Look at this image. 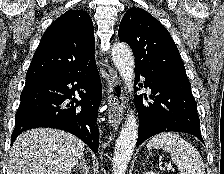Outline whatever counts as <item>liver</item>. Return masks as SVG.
I'll return each mask as SVG.
<instances>
[{
	"label": "liver",
	"mask_w": 224,
	"mask_h": 174,
	"mask_svg": "<svg viewBox=\"0 0 224 174\" xmlns=\"http://www.w3.org/2000/svg\"><path fill=\"white\" fill-rule=\"evenodd\" d=\"M84 149L83 141L63 130H28L13 143L9 174H69Z\"/></svg>",
	"instance_id": "obj_1"
}]
</instances>
